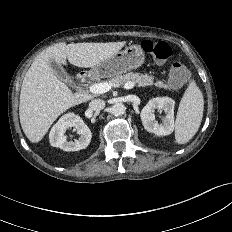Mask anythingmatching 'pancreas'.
I'll list each match as a JSON object with an SVG mask.
<instances>
[{
    "mask_svg": "<svg viewBox=\"0 0 232 232\" xmlns=\"http://www.w3.org/2000/svg\"><path fill=\"white\" fill-rule=\"evenodd\" d=\"M127 82H134L138 86H151L155 85L159 88L169 89V86L163 81L154 82V76L150 74H140V73H127L125 75H117L109 80V83L123 85Z\"/></svg>",
    "mask_w": 232,
    "mask_h": 232,
    "instance_id": "1",
    "label": "pancreas"
}]
</instances>
